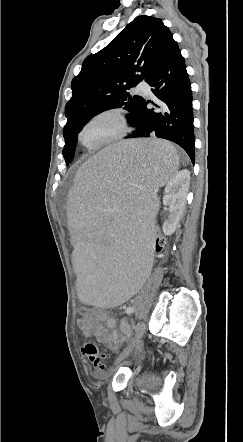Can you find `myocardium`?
Listing matches in <instances>:
<instances>
[{
    "label": "myocardium",
    "instance_id": "myocardium-1",
    "mask_svg": "<svg viewBox=\"0 0 243 442\" xmlns=\"http://www.w3.org/2000/svg\"><path fill=\"white\" fill-rule=\"evenodd\" d=\"M102 117H113L115 118L118 123H119V131L114 134L113 136H111L110 138L101 141L97 144L94 145H87L83 142L82 140V133L84 131V129L93 121L102 118ZM130 121L129 118L126 114V112L120 108H109V109H105L102 110L94 115H92L91 117H89L79 128V131L77 133V140L78 142L85 147L86 149L89 150H96V149H100L102 147H105L107 145H110L114 142H117L121 139H123L130 131Z\"/></svg>",
    "mask_w": 243,
    "mask_h": 442
}]
</instances>
